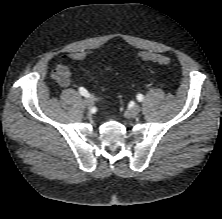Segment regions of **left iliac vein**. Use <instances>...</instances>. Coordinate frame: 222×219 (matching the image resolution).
<instances>
[{
  "mask_svg": "<svg viewBox=\"0 0 222 219\" xmlns=\"http://www.w3.org/2000/svg\"><path fill=\"white\" fill-rule=\"evenodd\" d=\"M140 111H141V108H140L139 105H134V106L131 108V113H132L133 115L139 114Z\"/></svg>",
  "mask_w": 222,
  "mask_h": 219,
  "instance_id": "left-iliac-vein-1",
  "label": "left iliac vein"
}]
</instances>
